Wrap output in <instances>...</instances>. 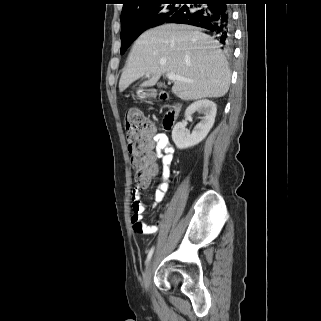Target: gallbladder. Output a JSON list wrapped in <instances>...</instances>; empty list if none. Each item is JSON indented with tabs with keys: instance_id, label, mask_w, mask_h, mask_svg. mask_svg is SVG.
<instances>
[{
	"instance_id": "1",
	"label": "gallbladder",
	"mask_w": 321,
	"mask_h": 321,
	"mask_svg": "<svg viewBox=\"0 0 321 321\" xmlns=\"http://www.w3.org/2000/svg\"><path fill=\"white\" fill-rule=\"evenodd\" d=\"M158 86H159V87H162V86H163V84H160V83H159V84H158Z\"/></svg>"
}]
</instances>
